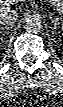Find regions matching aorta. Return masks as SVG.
<instances>
[{
	"instance_id": "762f6f07",
	"label": "aorta",
	"mask_w": 63,
	"mask_h": 107,
	"mask_svg": "<svg viewBox=\"0 0 63 107\" xmlns=\"http://www.w3.org/2000/svg\"><path fill=\"white\" fill-rule=\"evenodd\" d=\"M24 28L28 33H38L42 30L43 25L37 16H30L26 19Z\"/></svg>"
}]
</instances>
